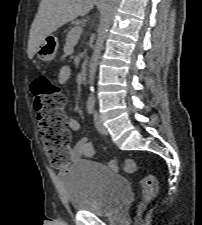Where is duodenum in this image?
Instances as JSON below:
<instances>
[{"mask_svg": "<svg viewBox=\"0 0 202 225\" xmlns=\"http://www.w3.org/2000/svg\"><path fill=\"white\" fill-rule=\"evenodd\" d=\"M89 61H84L81 64V69H80V76H81V80L86 83L88 75H89Z\"/></svg>", "mask_w": 202, "mask_h": 225, "instance_id": "410a0bca", "label": "duodenum"}]
</instances>
